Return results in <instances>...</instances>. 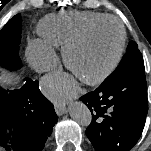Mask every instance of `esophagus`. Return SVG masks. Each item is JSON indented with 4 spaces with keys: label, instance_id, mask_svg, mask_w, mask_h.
<instances>
[{
    "label": "esophagus",
    "instance_id": "esophagus-1",
    "mask_svg": "<svg viewBox=\"0 0 151 151\" xmlns=\"http://www.w3.org/2000/svg\"><path fill=\"white\" fill-rule=\"evenodd\" d=\"M55 107V111L58 115H63L64 113H66V106L64 104H54Z\"/></svg>",
    "mask_w": 151,
    "mask_h": 151
}]
</instances>
